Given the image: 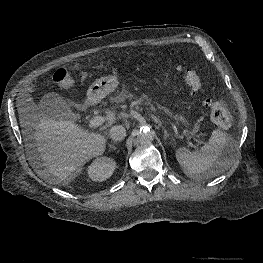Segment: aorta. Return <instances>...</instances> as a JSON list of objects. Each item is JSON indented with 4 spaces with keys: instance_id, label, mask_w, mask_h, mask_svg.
I'll use <instances>...</instances> for the list:
<instances>
[{
    "instance_id": "762f6f07",
    "label": "aorta",
    "mask_w": 263,
    "mask_h": 263,
    "mask_svg": "<svg viewBox=\"0 0 263 263\" xmlns=\"http://www.w3.org/2000/svg\"><path fill=\"white\" fill-rule=\"evenodd\" d=\"M155 133L149 128H142L137 133V139L141 144H149L154 140Z\"/></svg>"
}]
</instances>
